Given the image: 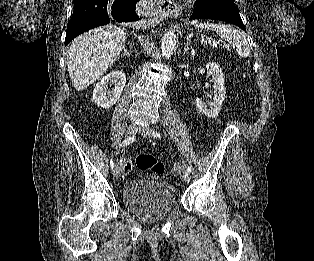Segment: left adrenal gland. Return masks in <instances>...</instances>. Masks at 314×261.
<instances>
[{
    "label": "left adrenal gland",
    "mask_w": 314,
    "mask_h": 261,
    "mask_svg": "<svg viewBox=\"0 0 314 261\" xmlns=\"http://www.w3.org/2000/svg\"><path fill=\"white\" fill-rule=\"evenodd\" d=\"M188 44H185L184 49H183V55L186 54V52L188 51Z\"/></svg>",
    "instance_id": "1"
}]
</instances>
